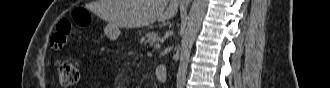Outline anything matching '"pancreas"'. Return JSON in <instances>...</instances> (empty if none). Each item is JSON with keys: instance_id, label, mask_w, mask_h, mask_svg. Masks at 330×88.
<instances>
[{"instance_id": "1", "label": "pancreas", "mask_w": 330, "mask_h": 88, "mask_svg": "<svg viewBox=\"0 0 330 88\" xmlns=\"http://www.w3.org/2000/svg\"><path fill=\"white\" fill-rule=\"evenodd\" d=\"M160 40V37L158 36V34L156 32H148L146 33L143 37H141V39L139 40V42L141 44H148V43H154Z\"/></svg>"}]
</instances>
